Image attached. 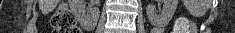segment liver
<instances>
[{
    "instance_id": "liver-1",
    "label": "liver",
    "mask_w": 235,
    "mask_h": 33,
    "mask_svg": "<svg viewBox=\"0 0 235 33\" xmlns=\"http://www.w3.org/2000/svg\"><path fill=\"white\" fill-rule=\"evenodd\" d=\"M57 1L54 0H39V8L43 14H48L52 11Z\"/></svg>"
}]
</instances>
